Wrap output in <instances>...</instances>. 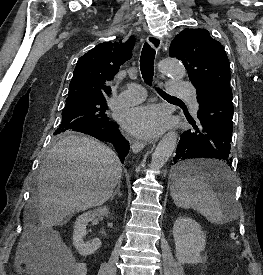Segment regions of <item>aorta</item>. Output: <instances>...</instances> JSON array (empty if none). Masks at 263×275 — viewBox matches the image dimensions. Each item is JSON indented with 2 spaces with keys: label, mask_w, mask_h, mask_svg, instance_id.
<instances>
[{
  "label": "aorta",
  "mask_w": 263,
  "mask_h": 275,
  "mask_svg": "<svg viewBox=\"0 0 263 275\" xmlns=\"http://www.w3.org/2000/svg\"><path fill=\"white\" fill-rule=\"evenodd\" d=\"M158 70L177 80L182 79L186 74L185 67L182 62L177 59L163 60L159 63ZM177 141L178 135L175 129L170 130L163 136L152 154L151 166L153 170H159L167 163L175 150Z\"/></svg>",
  "instance_id": "obj_1"
}]
</instances>
